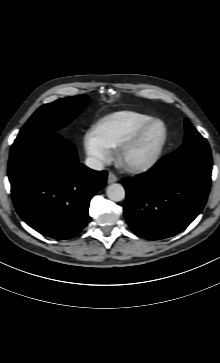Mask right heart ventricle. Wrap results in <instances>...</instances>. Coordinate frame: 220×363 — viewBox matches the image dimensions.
I'll return each mask as SVG.
<instances>
[{"mask_svg":"<svg viewBox=\"0 0 220 363\" xmlns=\"http://www.w3.org/2000/svg\"><path fill=\"white\" fill-rule=\"evenodd\" d=\"M153 117L136 111H119L99 121L96 132L109 148H117L140 127Z\"/></svg>","mask_w":220,"mask_h":363,"instance_id":"obj_1","label":"right heart ventricle"}]
</instances>
